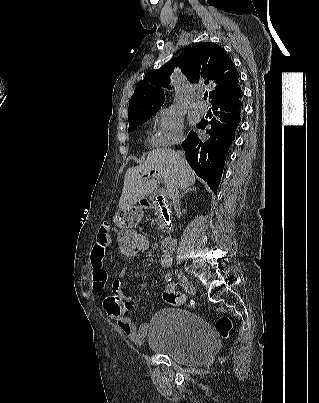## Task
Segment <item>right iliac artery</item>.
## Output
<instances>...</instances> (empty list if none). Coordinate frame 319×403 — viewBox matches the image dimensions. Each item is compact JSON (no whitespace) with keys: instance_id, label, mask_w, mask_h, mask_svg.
Masks as SVG:
<instances>
[{"instance_id":"obj_1","label":"right iliac artery","mask_w":319,"mask_h":403,"mask_svg":"<svg viewBox=\"0 0 319 403\" xmlns=\"http://www.w3.org/2000/svg\"><path fill=\"white\" fill-rule=\"evenodd\" d=\"M165 279H166V281L167 282H170L171 281V279H172V275L170 274V273H167L166 274V276H165ZM171 286H172V288L174 289V284H171Z\"/></svg>"}]
</instances>
